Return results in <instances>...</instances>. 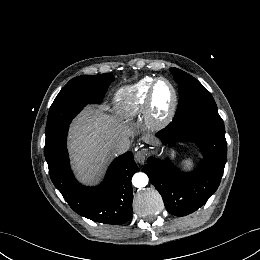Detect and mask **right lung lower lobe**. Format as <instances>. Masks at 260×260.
<instances>
[{
	"label": "right lung lower lobe",
	"mask_w": 260,
	"mask_h": 260,
	"mask_svg": "<svg viewBox=\"0 0 260 260\" xmlns=\"http://www.w3.org/2000/svg\"><path fill=\"white\" fill-rule=\"evenodd\" d=\"M68 126L50 143L44 154L55 187L79 215L104 224H123L132 214L131 178L138 167L132 152L117 157L109 166L104 182L94 188L79 184L69 165L66 149Z\"/></svg>",
	"instance_id": "obj_1"
}]
</instances>
